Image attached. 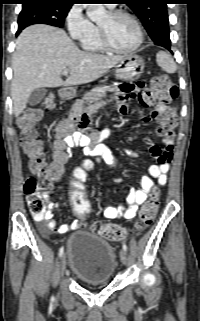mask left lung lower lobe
I'll use <instances>...</instances> for the list:
<instances>
[{
  "instance_id": "1",
  "label": "left lung lower lobe",
  "mask_w": 200,
  "mask_h": 321,
  "mask_svg": "<svg viewBox=\"0 0 200 321\" xmlns=\"http://www.w3.org/2000/svg\"><path fill=\"white\" fill-rule=\"evenodd\" d=\"M170 46H171V44H167L164 48L170 50Z\"/></svg>"
}]
</instances>
